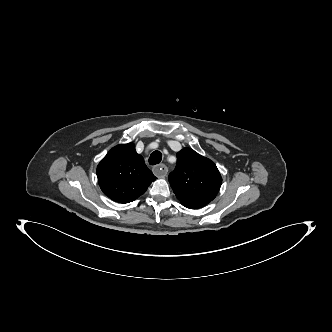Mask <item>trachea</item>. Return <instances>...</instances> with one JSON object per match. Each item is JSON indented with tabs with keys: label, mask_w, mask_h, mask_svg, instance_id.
<instances>
[{
	"label": "trachea",
	"mask_w": 332,
	"mask_h": 332,
	"mask_svg": "<svg viewBox=\"0 0 332 332\" xmlns=\"http://www.w3.org/2000/svg\"><path fill=\"white\" fill-rule=\"evenodd\" d=\"M162 160V154L160 151H154L149 157V164L156 165Z\"/></svg>",
	"instance_id": "3493384b"
}]
</instances>
